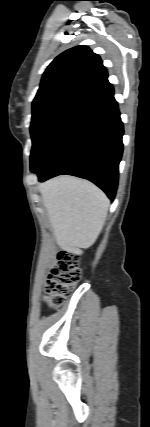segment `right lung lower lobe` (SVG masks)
Returning a JSON list of instances; mask_svg holds the SVG:
<instances>
[{
  "label": "right lung lower lobe",
  "instance_id": "obj_1",
  "mask_svg": "<svg viewBox=\"0 0 150 427\" xmlns=\"http://www.w3.org/2000/svg\"><path fill=\"white\" fill-rule=\"evenodd\" d=\"M122 136L123 124L112 89L79 110L35 173L40 182L63 174L88 179L113 200L123 151Z\"/></svg>",
  "mask_w": 150,
  "mask_h": 427
}]
</instances>
